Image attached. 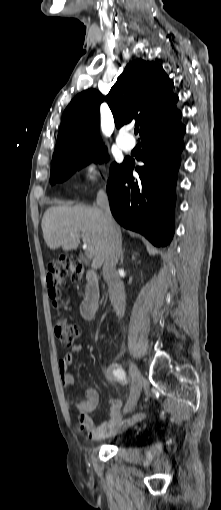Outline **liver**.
Masks as SVG:
<instances>
[{"mask_svg":"<svg viewBox=\"0 0 221 510\" xmlns=\"http://www.w3.org/2000/svg\"><path fill=\"white\" fill-rule=\"evenodd\" d=\"M41 226L44 240L51 250L60 247L64 251L76 250L82 235L94 251L91 267L99 269L104 263L108 233L99 207L52 206L44 213Z\"/></svg>","mask_w":221,"mask_h":510,"instance_id":"obj_1","label":"liver"}]
</instances>
